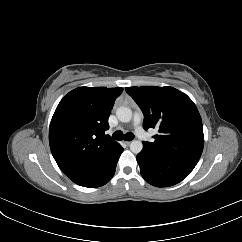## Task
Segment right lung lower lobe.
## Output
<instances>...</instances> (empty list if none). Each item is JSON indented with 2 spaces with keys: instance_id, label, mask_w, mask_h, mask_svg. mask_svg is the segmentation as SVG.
I'll use <instances>...</instances> for the list:
<instances>
[{
  "instance_id": "1",
  "label": "right lung lower lobe",
  "mask_w": 242,
  "mask_h": 242,
  "mask_svg": "<svg viewBox=\"0 0 242 242\" xmlns=\"http://www.w3.org/2000/svg\"><path fill=\"white\" fill-rule=\"evenodd\" d=\"M120 144H116L95 156L83 168L68 176L74 183L83 187H99L113 177L118 159L123 152Z\"/></svg>"
}]
</instances>
